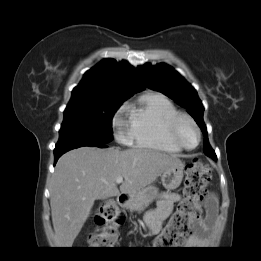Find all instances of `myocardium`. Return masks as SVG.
<instances>
[{"instance_id":"myocardium-1","label":"myocardium","mask_w":261,"mask_h":261,"mask_svg":"<svg viewBox=\"0 0 261 261\" xmlns=\"http://www.w3.org/2000/svg\"><path fill=\"white\" fill-rule=\"evenodd\" d=\"M190 124L197 134V143L193 147H188L184 144V142L181 139V127L183 124ZM169 133L172 141L175 145H177L180 149L186 150V151H192L196 149L200 142H201V131L195 120L187 115V114H178L170 123L169 125Z\"/></svg>"}]
</instances>
